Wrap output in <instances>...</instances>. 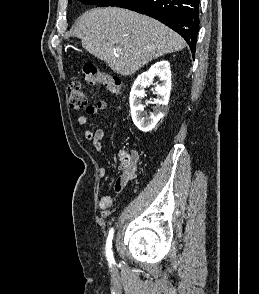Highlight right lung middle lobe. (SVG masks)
Returning <instances> with one entry per match:
<instances>
[{"label": "right lung middle lobe", "instance_id": "dd1d6c3e", "mask_svg": "<svg viewBox=\"0 0 259 294\" xmlns=\"http://www.w3.org/2000/svg\"><path fill=\"white\" fill-rule=\"evenodd\" d=\"M84 4L95 5L98 7H108V6H117L122 7L130 0H79ZM70 2V1H69Z\"/></svg>", "mask_w": 259, "mask_h": 294}]
</instances>
